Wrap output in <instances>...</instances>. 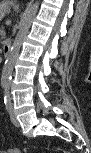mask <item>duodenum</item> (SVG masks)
<instances>
[{"label": "duodenum", "instance_id": "obj_1", "mask_svg": "<svg viewBox=\"0 0 91 153\" xmlns=\"http://www.w3.org/2000/svg\"><path fill=\"white\" fill-rule=\"evenodd\" d=\"M11 47H12L11 39L10 38L5 39L3 43V54L5 57L9 55Z\"/></svg>", "mask_w": 91, "mask_h": 153}]
</instances>
